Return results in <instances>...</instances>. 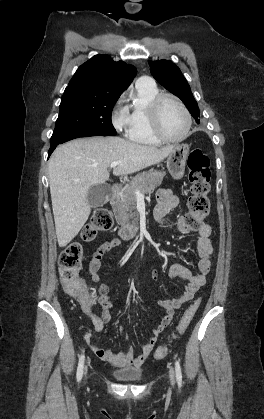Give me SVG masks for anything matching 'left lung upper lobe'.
<instances>
[{
    "label": "left lung upper lobe",
    "instance_id": "1",
    "mask_svg": "<svg viewBox=\"0 0 264 419\" xmlns=\"http://www.w3.org/2000/svg\"><path fill=\"white\" fill-rule=\"evenodd\" d=\"M149 65L150 72L158 83L179 97L191 115L199 122L200 112L197 102L180 69L173 62L166 60L149 61Z\"/></svg>",
    "mask_w": 264,
    "mask_h": 419
}]
</instances>
